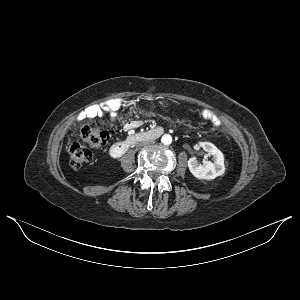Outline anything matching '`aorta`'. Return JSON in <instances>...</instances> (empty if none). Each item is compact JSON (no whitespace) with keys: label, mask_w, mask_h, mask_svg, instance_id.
Listing matches in <instances>:
<instances>
[{"label":"aorta","mask_w":300,"mask_h":300,"mask_svg":"<svg viewBox=\"0 0 300 300\" xmlns=\"http://www.w3.org/2000/svg\"><path fill=\"white\" fill-rule=\"evenodd\" d=\"M161 142L164 145H170L172 142V137L169 134H164L161 138Z\"/></svg>","instance_id":"1"}]
</instances>
